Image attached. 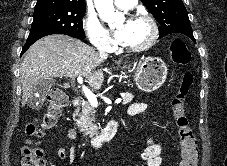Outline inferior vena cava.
<instances>
[{
	"label": "inferior vena cava",
	"instance_id": "602c4592",
	"mask_svg": "<svg viewBox=\"0 0 227 166\" xmlns=\"http://www.w3.org/2000/svg\"><path fill=\"white\" fill-rule=\"evenodd\" d=\"M97 49L99 51V56L102 60L106 59L108 57L107 52L105 51L104 47L97 45Z\"/></svg>",
	"mask_w": 227,
	"mask_h": 166
}]
</instances>
